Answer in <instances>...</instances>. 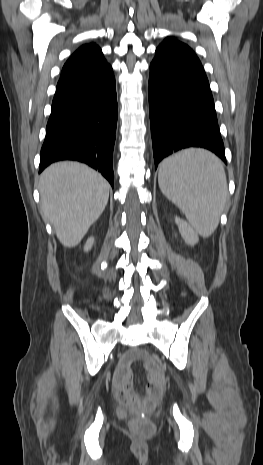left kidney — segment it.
<instances>
[{
	"label": "left kidney",
	"mask_w": 263,
	"mask_h": 465,
	"mask_svg": "<svg viewBox=\"0 0 263 465\" xmlns=\"http://www.w3.org/2000/svg\"><path fill=\"white\" fill-rule=\"evenodd\" d=\"M175 222L178 225L179 232L183 239L185 240L186 244L193 246L198 242V236L194 232V230L183 220L176 217Z\"/></svg>",
	"instance_id": "1"
}]
</instances>
